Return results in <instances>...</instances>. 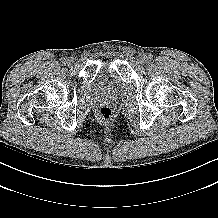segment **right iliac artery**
<instances>
[{
  "mask_svg": "<svg viewBox=\"0 0 218 218\" xmlns=\"http://www.w3.org/2000/svg\"><path fill=\"white\" fill-rule=\"evenodd\" d=\"M62 64H66V58L61 59Z\"/></svg>",
  "mask_w": 218,
  "mask_h": 218,
  "instance_id": "obj_1",
  "label": "right iliac artery"
}]
</instances>
